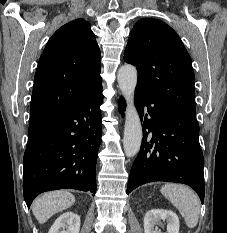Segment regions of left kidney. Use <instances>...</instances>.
<instances>
[{
	"mask_svg": "<svg viewBox=\"0 0 227 233\" xmlns=\"http://www.w3.org/2000/svg\"><path fill=\"white\" fill-rule=\"evenodd\" d=\"M161 220L167 221V233H179V218L171 210L152 209L146 212L144 217V232L145 233H161L155 229V225Z\"/></svg>",
	"mask_w": 227,
	"mask_h": 233,
	"instance_id": "1",
	"label": "left kidney"
}]
</instances>
